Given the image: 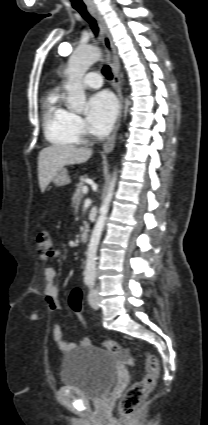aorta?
Segmentation results:
<instances>
[{"instance_id":"aorta-1","label":"aorta","mask_w":208,"mask_h":425,"mask_svg":"<svg viewBox=\"0 0 208 425\" xmlns=\"http://www.w3.org/2000/svg\"><path fill=\"white\" fill-rule=\"evenodd\" d=\"M100 58V51L94 47L77 48L69 59L66 69L67 83L65 89L68 92L67 103L71 110L81 113L84 109L86 95L82 84L83 77L88 68ZM117 180V173L114 172L106 198L100 208V215L96 221L90 242L87 249V259L85 268V278L94 279L96 276V255L109 210V205L113 197Z\"/></svg>"}]
</instances>
